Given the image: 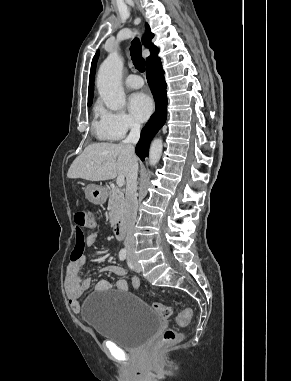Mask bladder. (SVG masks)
<instances>
[{"mask_svg": "<svg viewBox=\"0 0 291 381\" xmlns=\"http://www.w3.org/2000/svg\"><path fill=\"white\" fill-rule=\"evenodd\" d=\"M81 317L100 338L128 350L140 349L163 324L150 304L126 291L114 297L91 295L85 301Z\"/></svg>", "mask_w": 291, "mask_h": 381, "instance_id": "31cf9c89", "label": "bladder"}]
</instances>
